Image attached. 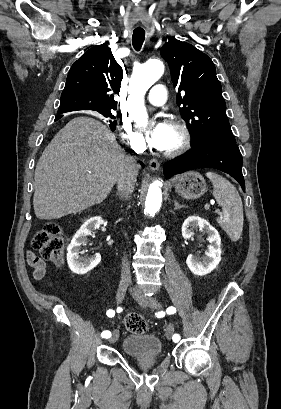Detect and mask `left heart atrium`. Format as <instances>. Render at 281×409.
Returning <instances> with one entry per match:
<instances>
[{"label": "left heart atrium", "mask_w": 281, "mask_h": 409, "mask_svg": "<svg viewBox=\"0 0 281 409\" xmlns=\"http://www.w3.org/2000/svg\"><path fill=\"white\" fill-rule=\"evenodd\" d=\"M168 125L160 122L147 131L145 141L152 147L161 149L166 140Z\"/></svg>", "instance_id": "obj_1"}]
</instances>
